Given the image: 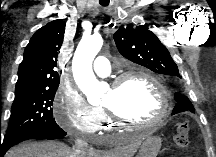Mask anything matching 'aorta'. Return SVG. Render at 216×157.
Listing matches in <instances>:
<instances>
[{
    "label": "aorta",
    "mask_w": 216,
    "mask_h": 157,
    "mask_svg": "<svg viewBox=\"0 0 216 157\" xmlns=\"http://www.w3.org/2000/svg\"><path fill=\"white\" fill-rule=\"evenodd\" d=\"M102 45L101 36L83 38L77 46L72 61L74 80L91 104L100 103L103 95V85L96 79L92 70L93 60Z\"/></svg>",
    "instance_id": "obj_1"
}]
</instances>
